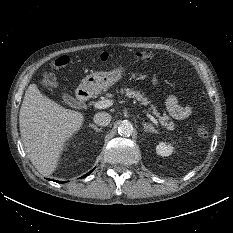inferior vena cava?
<instances>
[{"label":"inferior vena cava","instance_id":"1","mask_svg":"<svg viewBox=\"0 0 233 233\" xmlns=\"http://www.w3.org/2000/svg\"><path fill=\"white\" fill-rule=\"evenodd\" d=\"M93 120L100 126H107L111 121V115L107 112H99L94 115Z\"/></svg>","mask_w":233,"mask_h":233}]
</instances>
